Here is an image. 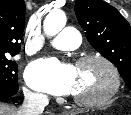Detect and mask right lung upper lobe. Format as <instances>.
<instances>
[{
  "label": "right lung upper lobe",
  "instance_id": "right-lung-upper-lobe-1",
  "mask_svg": "<svg viewBox=\"0 0 131 115\" xmlns=\"http://www.w3.org/2000/svg\"><path fill=\"white\" fill-rule=\"evenodd\" d=\"M25 11L24 0H0V53L19 52Z\"/></svg>",
  "mask_w": 131,
  "mask_h": 115
}]
</instances>
